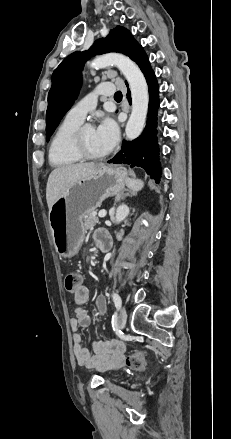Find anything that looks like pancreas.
Listing matches in <instances>:
<instances>
[{
	"instance_id": "cf45deb5",
	"label": "pancreas",
	"mask_w": 231,
	"mask_h": 439,
	"mask_svg": "<svg viewBox=\"0 0 231 439\" xmlns=\"http://www.w3.org/2000/svg\"><path fill=\"white\" fill-rule=\"evenodd\" d=\"M96 212H91L84 216V227L86 229L93 228L96 224H100Z\"/></svg>"
}]
</instances>
